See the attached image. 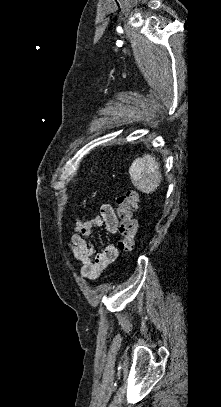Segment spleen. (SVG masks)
<instances>
[{
	"label": "spleen",
	"mask_w": 221,
	"mask_h": 407,
	"mask_svg": "<svg viewBox=\"0 0 221 407\" xmlns=\"http://www.w3.org/2000/svg\"><path fill=\"white\" fill-rule=\"evenodd\" d=\"M155 157L145 154L134 160L129 168L132 184L146 194L154 192L160 185L162 175Z\"/></svg>",
	"instance_id": "3e777b00"
}]
</instances>
